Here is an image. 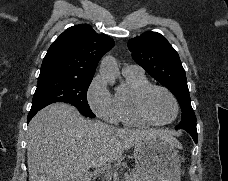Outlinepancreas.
Returning a JSON list of instances; mask_svg holds the SVG:
<instances>
[{
  "instance_id": "obj_1",
  "label": "pancreas",
  "mask_w": 228,
  "mask_h": 181,
  "mask_svg": "<svg viewBox=\"0 0 228 181\" xmlns=\"http://www.w3.org/2000/svg\"><path fill=\"white\" fill-rule=\"evenodd\" d=\"M107 177H110V175H107ZM124 179L126 181H140V177L136 171H130V173H125Z\"/></svg>"
}]
</instances>
